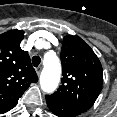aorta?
Segmentation results:
<instances>
[{"mask_svg":"<svg viewBox=\"0 0 117 117\" xmlns=\"http://www.w3.org/2000/svg\"><path fill=\"white\" fill-rule=\"evenodd\" d=\"M44 68L40 75L41 89L46 93H52L58 87L61 76V64L54 53H47L43 61Z\"/></svg>","mask_w":117,"mask_h":117,"instance_id":"aorta-1","label":"aorta"}]
</instances>
